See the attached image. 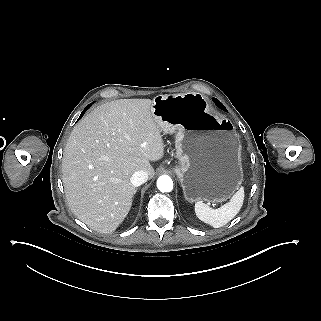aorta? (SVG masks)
I'll return each mask as SVG.
<instances>
[{
	"mask_svg": "<svg viewBox=\"0 0 321 321\" xmlns=\"http://www.w3.org/2000/svg\"><path fill=\"white\" fill-rule=\"evenodd\" d=\"M157 188L161 192H170L173 189V181L168 175H162L157 180Z\"/></svg>",
	"mask_w": 321,
	"mask_h": 321,
	"instance_id": "aorta-1",
	"label": "aorta"
}]
</instances>
